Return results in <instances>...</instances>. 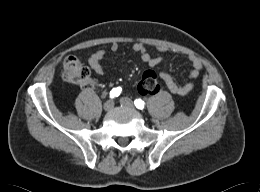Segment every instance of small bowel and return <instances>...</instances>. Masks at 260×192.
Instances as JSON below:
<instances>
[{
    "label": "small bowel",
    "mask_w": 260,
    "mask_h": 192,
    "mask_svg": "<svg viewBox=\"0 0 260 192\" xmlns=\"http://www.w3.org/2000/svg\"><path fill=\"white\" fill-rule=\"evenodd\" d=\"M118 49L119 46L116 43H113L110 47V50L112 52H117ZM133 51L136 54H138L140 59L144 63L148 64L150 67H155L161 62V59L159 57H152L147 51L146 46L141 42H136L133 45ZM104 57H105V51L99 50L93 53L89 58V65L94 70V72L99 75H102L104 73V68L102 65V60ZM190 62L192 64V69L189 73V77L191 79H195L200 75L203 68V64L196 57H190ZM156 78L157 76L154 72L152 71L146 72L143 79L140 81L138 85V90L140 91V93L142 94L151 93L153 91L152 85L153 83H155ZM159 78L164 82L168 90L174 95L186 96L190 94L195 88L194 82H188L186 84L179 85L175 81L174 77L167 72H161L159 74Z\"/></svg>",
    "instance_id": "c3829d8e"
}]
</instances>
